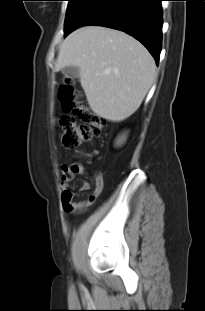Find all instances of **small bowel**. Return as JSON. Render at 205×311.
I'll use <instances>...</instances> for the list:
<instances>
[{"instance_id": "obj_1", "label": "small bowel", "mask_w": 205, "mask_h": 311, "mask_svg": "<svg viewBox=\"0 0 205 311\" xmlns=\"http://www.w3.org/2000/svg\"><path fill=\"white\" fill-rule=\"evenodd\" d=\"M85 173V167L80 162H74L71 164H63L61 166V198L63 208L66 212L70 213H80L85 211L100 195L104 187V178L100 172H95L94 179V189L87 193L81 200L75 201V198L82 197L79 193L75 192L71 188L70 184L80 176ZM91 185L88 181H82L80 185V192H88Z\"/></svg>"}]
</instances>
